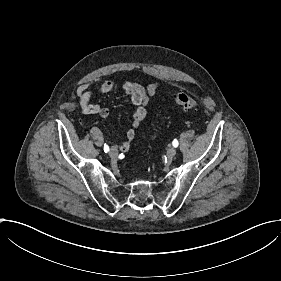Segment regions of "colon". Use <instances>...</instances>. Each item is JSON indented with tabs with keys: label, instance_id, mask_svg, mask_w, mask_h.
Here are the masks:
<instances>
[{
	"label": "colon",
	"instance_id": "obj_1",
	"mask_svg": "<svg viewBox=\"0 0 281 281\" xmlns=\"http://www.w3.org/2000/svg\"><path fill=\"white\" fill-rule=\"evenodd\" d=\"M175 103L182 110L196 111L199 107L198 101L187 93H178L175 96Z\"/></svg>",
	"mask_w": 281,
	"mask_h": 281
}]
</instances>
